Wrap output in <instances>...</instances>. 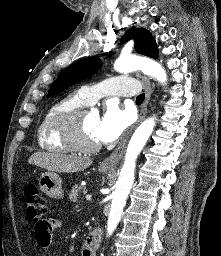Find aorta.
<instances>
[{
    "instance_id": "1",
    "label": "aorta",
    "mask_w": 221,
    "mask_h": 256,
    "mask_svg": "<svg viewBox=\"0 0 221 256\" xmlns=\"http://www.w3.org/2000/svg\"><path fill=\"white\" fill-rule=\"evenodd\" d=\"M114 69L119 73L142 70L143 73L157 79L161 84L167 81L164 68L155 61L140 60L136 57H120L114 63ZM155 126V117L144 120L132 135L125 154V161L121 168L116 189L112 194L111 210L108 217L107 232L113 233L117 227L126 199L134 183L136 159L146 144Z\"/></svg>"
}]
</instances>
